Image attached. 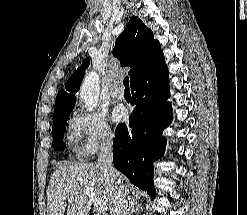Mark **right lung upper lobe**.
<instances>
[{"mask_svg":"<svg viewBox=\"0 0 247 215\" xmlns=\"http://www.w3.org/2000/svg\"><path fill=\"white\" fill-rule=\"evenodd\" d=\"M113 55L122 66H130L128 72L132 82L140 73L149 68L161 55L160 43L154 40L153 32L136 16L130 18L124 31L116 39ZM88 66L86 59L66 83V90L75 93L79 90L84 70ZM76 101L73 94L60 90L56 97L54 114L72 108Z\"/></svg>","mask_w":247,"mask_h":215,"instance_id":"right-lung-upper-lobe-1","label":"right lung upper lobe"}]
</instances>
